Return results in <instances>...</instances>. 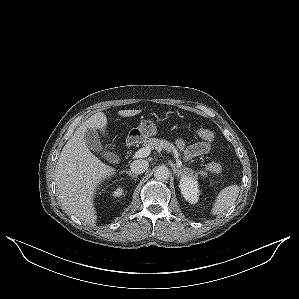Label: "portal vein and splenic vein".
Wrapping results in <instances>:
<instances>
[{
    "label": "portal vein and splenic vein",
    "mask_w": 299,
    "mask_h": 299,
    "mask_svg": "<svg viewBox=\"0 0 299 299\" xmlns=\"http://www.w3.org/2000/svg\"><path fill=\"white\" fill-rule=\"evenodd\" d=\"M150 153H151V149L148 147H145V148H141L137 152H135L133 157L134 158H145V157L149 156ZM176 165L178 167L182 166V162L180 161V159L178 157H176Z\"/></svg>",
    "instance_id": "obj_1"
}]
</instances>
